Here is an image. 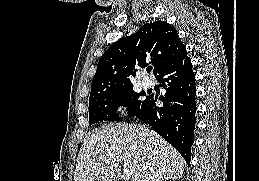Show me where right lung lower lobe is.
I'll list each match as a JSON object with an SVG mask.
<instances>
[{"label": "right lung lower lobe", "mask_w": 259, "mask_h": 181, "mask_svg": "<svg viewBox=\"0 0 259 181\" xmlns=\"http://www.w3.org/2000/svg\"><path fill=\"white\" fill-rule=\"evenodd\" d=\"M156 79L166 90L165 96L160 98L163 106L157 107V98L150 95L134 116L148 123L175 147L189 165L196 122V89L195 74L187 53L167 65Z\"/></svg>", "instance_id": "obj_1"}]
</instances>
